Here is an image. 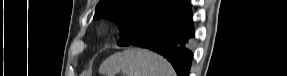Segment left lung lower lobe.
Segmentation results:
<instances>
[{
	"mask_svg": "<svg viewBox=\"0 0 287 76\" xmlns=\"http://www.w3.org/2000/svg\"><path fill=\"white\" fill-rule=\"evenodd\" d=\"M194 36L192 12L188 4L156 23L129 45L148 48L171 62L178 76H188L192 52L188 48Z\"/></svg>",
	"mask_w": 287,
	"mask_h": 76,
	"instance_id": "obj_1",
	"label": "left lung lower lobe"
}]
</instances>
